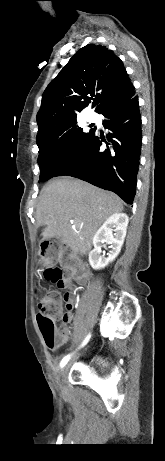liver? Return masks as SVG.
Instances as JSON below:
<instances>
[{
	"instance_id": "obj_1",
	"label": "liver",
	"mask_w": 165,
	"mask_h": 461,
	"mask_svg": "<svg viewBox=\"0 0 165 461\" xmlns=\"http://www.w3.org/2000/svg\"><path fill=\"white\" fill-rule=\"evenodd\" d=\"M123 210L118 196L69 177L49 181L36 209L43 239L60 237L73 252L91 250L93 236L111 215ZM73 221V225L70 222Z\"/></svg>"
}]
</instances>
